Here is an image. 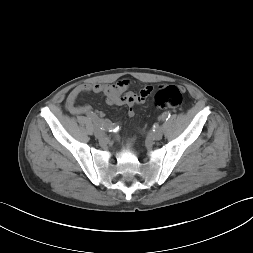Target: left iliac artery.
I'll return each instance as SVG.
<instances>
[{"mask_svg": "<svg viewBox=\"0 0 253 253\" xmlns=\"http://www.w3.org/2000/svg\"><path fill=\"white\" fill-rule=\"evenodd\" d=\"M169 117H170V113H169V112H164V113L162 114V119H163V120H167Z\"/></svg>", "mask_w": 253, "mask_h": 253, "instance_id": "44dca946", "label": "left iliac artery"}]
</instances>
